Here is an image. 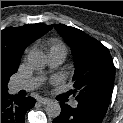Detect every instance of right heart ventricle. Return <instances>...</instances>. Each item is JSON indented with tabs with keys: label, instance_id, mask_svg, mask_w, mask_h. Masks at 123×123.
<instances>
[{
	"label": "right heart ventricle",
	"instance_id": "obj_1",
	"mask_svg": "<svg viewBox=\"0 0 123 123\" xmlns=\"http://www.w3.org/2000/svg\"><path fill=\"white\" fill-rule=\"evenodd\" d=\"M55 48H65L66 49L65 45L61 41L52 40L50 43V49L49 50L55 49Z\"/></svg>",
	"mask_w": 123,
	"mask_h": 123
}]
</instances>
